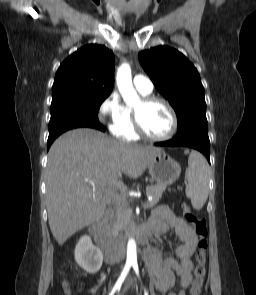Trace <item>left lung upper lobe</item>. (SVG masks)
I'll use <instances>...</instances> for the list:
<instances>
[{"label": "left lung upper lobe", "instance_id": "1", "mask_svg": "<svg viewBox=\"0 0 256 295\" xmlns=\"http://www.w3.org/2000/svg\"><path fill=\"white\" fill-rule=\"evenodd\" d=\"M139 61L176 112L178 129L175 137L208 134L204 88L194 65L178 50L168 46L140 52Z\"/></svg>", "mask_w": 256, "mask_h": 295}]
</instances>
